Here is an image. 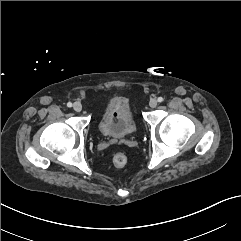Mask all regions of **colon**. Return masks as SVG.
I'll list each match as a JSON object with an SVG mask.
<instances>
[{
    "label": "colon",
    "instance_id": "obj_1",
    "mask_svg": "<svg viewBox=\"0 0 241 241\" xmlns=\"http://www.w3.org/2000/svg\"><path fill=\"white\" fill-rule=\"evenodd\" d=\"M127 156L124 153H117L113 157V163L116 167L122 168L127 164Z\"/></svg>",
    "mask_w": 241,
    "mask_h": 241
}]
</instances>
